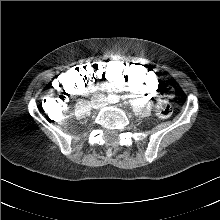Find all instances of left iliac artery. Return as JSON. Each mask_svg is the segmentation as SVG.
<instances>
[{
	"label": "left iliac artery",
	"instance_id": "left-iliac-artery-1",
	"mask_svg": "<svg viewBox=\"0 0 220 220\" xmlns=\"http://www.w3.org/2000/svg\"><path fill=\"white\" fill-rule=\"evenodd\" d=\"M119 101H120L119 96H117V95H113V96H112V99H111V102H112V103H117V102H119Z\"/></svg>",
	"mask_w": 220,
	"mask_h": 220
}]
</instances>
